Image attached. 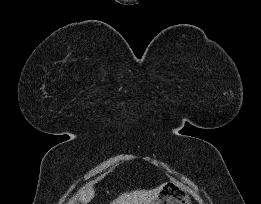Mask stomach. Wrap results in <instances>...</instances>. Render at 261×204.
Returning <instances> with one entry per match:
<instances>
[{
	"instance_id": "stomach-1",
	"label": "stomach",
	"mask_w": 261,
	"mask_h": 204,
	"mask_svg": "<svg viewBox=\"0 0 261 204\" xmlns=\"http://www.w3.org/2000/svg\"><path fill=\"white\" fill-rule=\"evenodd\" d=\"M151 204H191V200L180 183L170 181L161 186L159 196Z\"/></svg>"
}]
</instances>
